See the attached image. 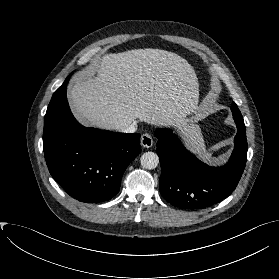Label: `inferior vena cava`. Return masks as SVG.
<instances>
[{
  "label": "inferior vena cava",
  "mask_w": 279,
  "mask_h": 279,
  "mask_svg": "<svg viewBox=\"0 0 279 279\" xmlns=\"http://www.w3.org/2000/svg\"><path fill=\"white\" fill-rule=\"evenodd\" d=\"M119 131L124 133H133L136 131L135 123H132L124 128H121Z\"/></svg>",
  "instance_id": "1"
}]
</instances>
